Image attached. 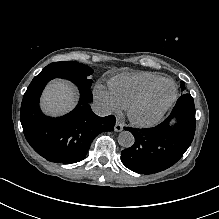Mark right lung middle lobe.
I'll return each mask as SVG.
<instances>
[{"label":"right lung middle lobe","mask_w":219,"mask_h":219,"mask_svg":"<svg viewBox=\"0 0 219 219\" xmlns=\"http://www.w3.org/2000/svg\"><path fill=\"white\" fill-rule=\"evenodd\" d=\"M93 70L86 65L74 61L53 62L46 66L41 74H54L61 77L75 78L86 87H91L92 80L89 76Z\"/></svg>","instance_id":"1"}]
</instances>
